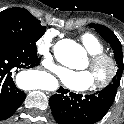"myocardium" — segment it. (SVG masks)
<instances>
[{
    "instance_id": "obj_1",
    "label": "myocardium",
    "mask_w": 124,
    "mask_h": 124,
    "mask_svg": "<svg viewBox=\"0 0 124 124\" xmlns=\"http://www.w3.org/2000/svg\"><path fill=\"white\" fill-rule=\"evenodd\" d=\"M89 63L91 68L102 64L107 66L106 74L94 82V89L102 90L110 85L118 69L115 59L105 52L89 53Z\"/></svg>"
}]
</instances>
